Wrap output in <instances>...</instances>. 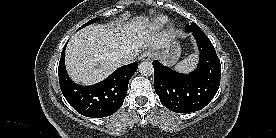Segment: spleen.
Masks as SVG:
<instances>
[{
	"instance_id": "spleen-1",
	"label": "spleen",
	"mask_w": 276,
	"mask_h": 138,
	"mask_svg": "<svg viewBox=\"0 0 276 138\" xmlns=\"http://www.w3.org/2000/svg\"><path fill=\"white\" fill-rule=\"evenodd\" d=\"M196 59H197V55L196 54H191L190 56L185 58L183 61L179 62L175 66V70L179 71V72H182V73L190 72L191 70L194 69V67L196 65Z\"/></svg>"
}]
</instances>
